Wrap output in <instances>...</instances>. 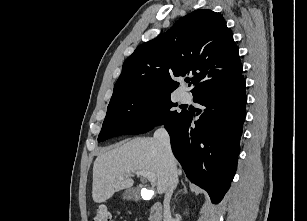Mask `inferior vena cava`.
Returning a JSON list of instances; mask_svg holds the SVG:
<instances>
[{
    "label": "inferior vena cava",
    "mask_w": 307,
    "mask_h": 221,
    "mask_svg": "<svg viewBox=\"0 0 307 221\" xmlns=\"http://www.w3.org/2000/svg\"><path fill=\"white\" fill-rule=\"evenodd\" d=\"M154 138L158 140L160 144L164 147L166 151V155L169 159V166H170L169 184H168V189L166 191L165 198H164L163 221H172V216H171V211H170V199L178 183L175 158L172 154L169 134L164 128L158 129L154 133Z\"/></svg>",
    "instance_id": "obj_1"
}]
</instances>
